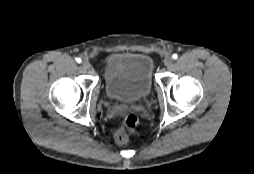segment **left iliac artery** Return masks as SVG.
<instances>
[{
	"label": "left iliac artery",
	"mask_w": 254,
	"mask_h": 174,
	"mask_svg": "<svg viewBox=\"0 0 254 174\" xmlns=\"http://www.w3.org/2000/svg\"><path fill=\"white\" fill-rule=\"evenodd\" d=\"M172 58H173V59H177V58H178V55H177V54H173V55H172Z\"/></svg>",
	"instance_id": "44dca946"
}]
</instances>
